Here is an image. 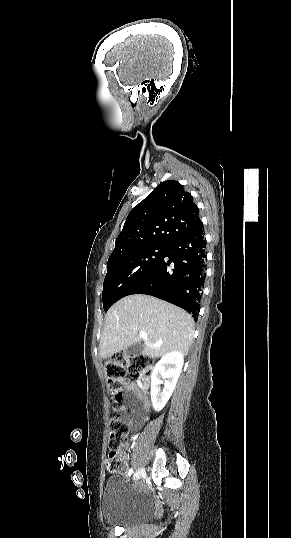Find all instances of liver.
I'll list each match as a JSON object with an SVG mask.
<instances>
[{
    "label": "liver",
    "mask_w": 291,
    "mask_h": 538,
    "mask_svg": "<svg viewBox=\"0 0 291 538\" xmlns=\"http://www.w3.org/2000/svg\"><path fill=\"white\" fill-rule=\"evenodd\" d=\"M142 354L158 358L171 351L187 355L193 341L194 320L190 314L152 296L136 294L116 302L105 316L99 348L106 359L142 339Z\"/></svg>",
    "instance_id": "liver-1"
}]
</instances>
